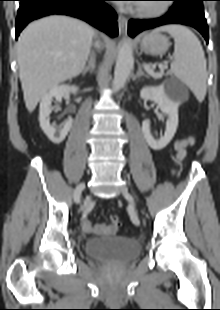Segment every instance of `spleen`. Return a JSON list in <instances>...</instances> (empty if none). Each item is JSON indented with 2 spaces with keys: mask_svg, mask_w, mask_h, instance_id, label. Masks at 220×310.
Returning a JSON list of instances; mask_svg holds the SVG:
<instances>
[{
  "mask_svg": "<svg viewBox=\"0 0 220 310\" xmlns=\"http://www.w3.org/2000/svg\"><path fill=\"white\" fill-rule=\"evenodd\" d=\"M168 32L175 41L174 60L171 71L185 83L202 102L206 95V59L202 45L197 36L187 27L182 25H166L153 31Z\"/></svg>",
  "mask_w": 220,
  "mask_h": 310,
  "instance_id": "obj_1",
  "label": "spleen"
}]
</instances>
